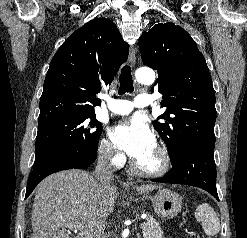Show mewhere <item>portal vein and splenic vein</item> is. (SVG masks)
Returning a JSON list of instances; mask_svg holds the SVG:
<instances>
[{"instance_id": "obj_1", "label": "portal vein and splenic vein", "mask_w": 247, "mask_h": 238, "mask_svg": "<svg viewBox=\"0 0 247 238\" xmlns=\"http://www.w3.org/2000/svg\"><path fill=\"white\" fill-rule=\"evenodd\" d=\"M145 225H146V223L145 222H143L141 225H140V227L141 228H144L145 227ZM71 228L73 227V228H75V229H82V224L81 223H79V224H76V225H74V226H70Z\"/></svg>"}]
</instances>
